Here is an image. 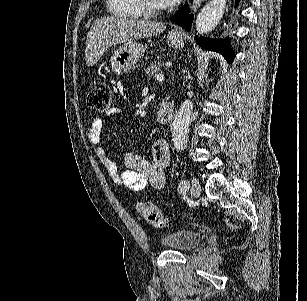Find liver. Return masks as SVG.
<instances>
[{"label":"liver","mask_w":307,"mask_h":301,"mask_svg":"<svg viewBox=\"0 0 307 301\" xmlns=\"http://www.w3.org/2000/svg\"><path fill=\"white\" fill-rule=\"evenodd\" d=\"M166 24L143 18H129V16H103L94 20L91 30L87 34L85 48L86 64L93 66L110 46L157 36L165 30Z\"/></svg>","instance_id":"liver-1"}]
</instances>
